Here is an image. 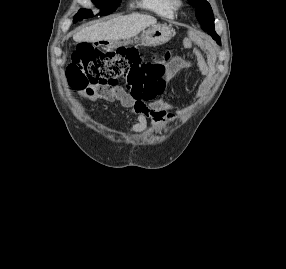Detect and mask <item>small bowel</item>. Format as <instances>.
I'll list each match as a JSON object with an SVG mask.
<instances>
[{
  "label": "small bowel",
  "mask_w": 286,
  "mask_h": 269,
  "mask_svg": "<svg viewBox=\"0 0 286 269\" xmlns=\"http://www.w3.org/2000/svg\"><path fill=\"white\" fill-rule=\"evenodd\" d=\"M191 44V40L186 42L187 47H190ZM192 65H195L197 73L205 78L200 84V90L206 89L211 81L213 72L212 52L206 43H201L200 48L195 50L194 60L183 56L173 57L168 64L169 73L175 74L180 69ZM89 95L93 96L96 95V93H89ZM102 96L109 99H115L128 109L129 114L133 116L134 123L132 129L135 133L144 132L147 128L149 119L162 125L172 124L178 119L177 114L166 110V104L163 99L154 102H146L119 88L105 91L102 93Z\"/></svg>",
  "instance_id": "obj_1"
}]
</instances>
